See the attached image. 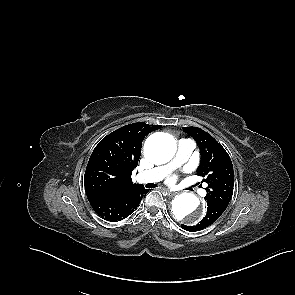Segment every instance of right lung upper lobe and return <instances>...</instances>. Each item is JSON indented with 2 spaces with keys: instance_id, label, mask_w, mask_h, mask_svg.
Instances as JSON below:
<instances>
[{
  "instance_id": "obj_1",
  "label": "right lung upper lobe",
  "mask_w": 295,
  "mask_h": 295,
  "mask_svg": "<svg viewBox=\"0 0 295 295\" xmlns=\"http://www.w3.org/2000/svg\"><path fill=\"white\" fill-rule=\"evenodd\" d=\"M159 128L161 126L144 122L133 123L113 131L99 142L89 160L105 161L114 168L115 175L110 187L96 195L117 196L143 188L140 184H132V170L138 165L144 137Z\"/></svg>"
}]
</instances>
